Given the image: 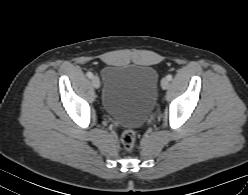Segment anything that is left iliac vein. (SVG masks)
Instances as JSON below:
<instances>
[{"label":"left iliac vein","instance_id":"obj_1","mask_svg":"<svg viewBox=\"0 0 248 195\" xmlns=\"http://www.w3.org/2000/svg\"><path fill=\"white\" fill-rule=\"evenodd\" d=\"M168 86H169V80L167 79V77H166V78H163V79L161 80V87H162L163 89H167Z\"/></svg>","mask_w":248,"mask_h":195}]
</instances>
